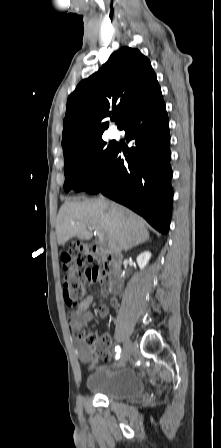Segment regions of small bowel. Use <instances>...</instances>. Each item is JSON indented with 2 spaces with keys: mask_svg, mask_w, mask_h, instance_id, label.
<instances>
[{
  "mask_svg": "<svg viewBox=\"0 0 221 448\" xmlns=\"http://www.w3.org/2000/svg\"><path fill=\"white\" fill-rule=\"evenodd\" d=\"M101 293L104 296L109 295L107 287L103 286L101 288ZM93 302V296L87 295L77 308H74L70 312V327L75 333V347L79 358L86 362L92 356V350L90 346L83 341L81 338V333L86 326H88L93 321V314L89 311V307ZM112 306H116V302L111 300ZM98 315L105 318L110 313V307L106 304H101L97 309ZM103 354L109 357V353L106 349H103Z\"/></svg>",
  "mask_w": 221,
  "mask_h": 448,
  "instance_id": "obj_1",
  "label": "small bowel"
}]
</instances>
